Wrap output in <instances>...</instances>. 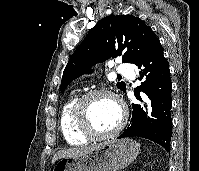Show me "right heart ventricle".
I'll list each match as a JSON object with an SVG mask.
<instances>
[{"instance_id": "right-heart-ventricle-1", "label": "right heart ventricle", "mask_w": 199, "mask_h": 171, "mask_svg": "<svg viewBox=\"0 0 199 171\" xmlns=\"http://www.w3.org/2000/svg\"><path fill=\"white\" fill-rule=\"evenodd\" d=\"M79 98L77 93L70 94L60 112V130L65 141L70 145L85 144L89 140L79 132L75 122L74 109Z\"/></svg>"}]
</instances>
